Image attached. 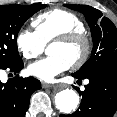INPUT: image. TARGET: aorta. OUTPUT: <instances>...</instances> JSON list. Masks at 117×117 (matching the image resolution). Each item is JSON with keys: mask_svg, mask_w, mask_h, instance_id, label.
Returning a JSON list of instances; mask_svg holds the SVG:
<instances>
[{"mask_svg": "<svg viewBox=\"0 0 117 117\" xmlns=\"http://www.w3.org/2000/svg\"><path fill=\"white\" fill-rule=\"evenodd\" d=\"M79 104V96L72 89H65L58 92L55 96L56 108L65 114L74 111Z\"/></svg>", "mask_w": 117, "mask_h": 117, "instance_id": "1", "label": "aorta"}]
</instances>
